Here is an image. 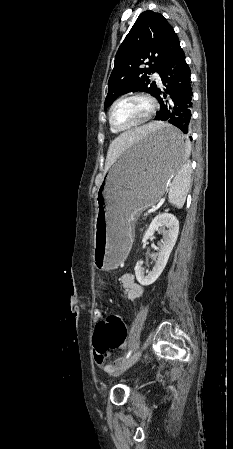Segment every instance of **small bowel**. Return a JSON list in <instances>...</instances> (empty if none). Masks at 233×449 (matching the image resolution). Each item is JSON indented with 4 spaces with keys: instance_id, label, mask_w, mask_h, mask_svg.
Segmentation results:
<instances>
[{
    "instance_id": "small-bowel-1",
    "label": "small bowel",
    "mask_w": 233,
    "mask_h": 449,
    "mask_svg": "<svg viewBox=\"0 0 233 449\" xmlns=\"http://www.w3.org/2000/svg\"><path fill=\"white\" fill-rule=\"evenodd\" d=\"M120 284L129 301L139 298L143 293L142 286L135 281V276L131 272H126L120 277ZM94 317L96 321H100L102 319V312L99 310L95 311ZM94 360L98 367L109 374L115 373L123 362L121 357L108 361L107 354L101 355L96 352L94 353Z\"/></svg>"
}]
</instances>
